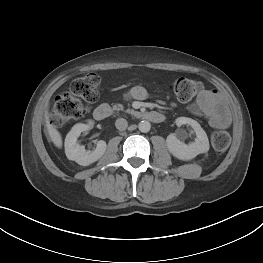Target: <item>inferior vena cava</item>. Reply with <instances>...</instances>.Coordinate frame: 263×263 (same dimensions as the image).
Listing matches in <instances>:
<instances>
[{
  "mask_svg": "<svg viewBox=\"0 0 263 263\" xmlns=\"http://www.w3.org/2000/svg\"><path fill=\"white\" fill-rule=\"evenodd\" d=\"M115 126L119 131H124L128 126V122L124 118H118L115 122Z\"/></svg>",
  "mask_w": 263,
  "mask_h": 263,
  "instance_id": "1",
  "label": "inferior vena cava"
}]
</instances>
